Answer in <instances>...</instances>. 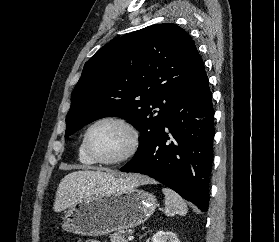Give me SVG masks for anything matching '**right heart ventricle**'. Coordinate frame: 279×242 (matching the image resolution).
<instances>
[{
	"label": "right heart ventricle",
	"instance_id": "e07e8e85",
	"mask_svg": "<svg viewBox=\"0 0 279 242\" xmlns=\"http://www.w3.org/2000/svg\"><path fill=\"white\" fill-rule=\"evenodd\" d=\"M77 156H78L79 162H81L84 165L91 166L94 164V162L91 161V159L87 156V154L84 150L83 140L79 144Z\"/></svg>",
	"mask_w": 279,
	"mask_h": 242
}]
</instances>
